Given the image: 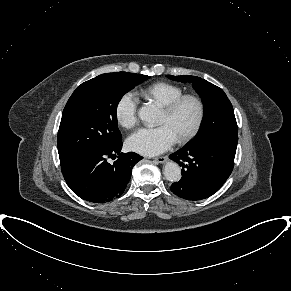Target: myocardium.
<instances>
[{
    "mask_svg": "<svg viewBox=\"0 0 291 291\" xmlns=\"http://www.w3.org/2000/svg\"><path fill=\"white\" fill-rule=\"evenodd\" d=\"M186 101H192L197 107V116L192 128L182 137L177 139L180 144L186 143L194 138L202 127L205 118V104L201 97L196 94H182L177 97L162 109L167 115L174 114L178 108Z\"/></svg>",
    "mask_w": 291,
    "mask_h": 291,
    "instance_id": "1",
    "label": "myocardium"
}]
</instances>
